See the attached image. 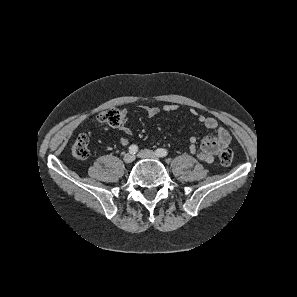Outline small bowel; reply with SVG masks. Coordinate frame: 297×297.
I'll return each mask as SVG.
<instances>
[{
    "label": "small bowel",
    "instance_id": "obj_1",
    "mask_svg": "<svg viewBox=\"0 0 297 297\" xmlns=\"http://www.w3.org/2000/svg\"><path fill=\"white\" fill-rule=\"evenodd\" d=\"M176 109L177 106L174 104H167L163 107L165 112H173ZM122 112L123 116H125L126 110H123ZM146 113L148 117L153 118L160 113V108L149 107L146 110ZM190 114L195 116L207 129L214 131V133L202 141L199 149L196 147L195 138L191 137L189 141V152L197 155L199 159L205 163H212L215 156L230 143V135L225 129L219 128L218 122L214 117L200 114L195 109L190 110ZM119 129L127 136L132 134L131 128L125 123L121 124ZM128 142L129 141L126 136L120 138L121 145L126 146Z\"/></svg>",
    "mask_w": 297,
    "mask_h": 297
}]
</instances>
